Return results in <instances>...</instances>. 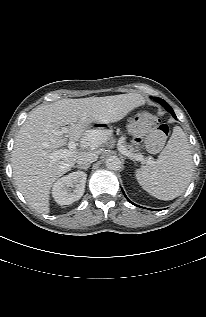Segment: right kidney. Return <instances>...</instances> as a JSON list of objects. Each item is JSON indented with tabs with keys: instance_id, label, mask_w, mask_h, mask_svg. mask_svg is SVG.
<instances>
[{
	"instance_id": "obj_1",
	"label": "right kidney",
	"mask_w": 206,
	"mask_h": 317,
	"mask_svg": "<svg viewBox=\"0 0 206 317\" xmlns=\"http://www.w3.org/2000/svg\"><path fill=\"white\" fill-rule=\"evenodd\" d=\"M87 174L72 172L58 179L52 188V196L59 205H70L79 200L85 190ZM74 188V189H73Z\"/></svg>"
}]
</instances>
